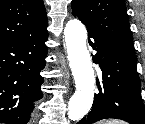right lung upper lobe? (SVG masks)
Wrapping results in <instances>:
<instances>
[{"instance_id": "obj_1", "label": "right lung upper lobe", "mask_w": 145, "mask_h": 124, "mask_svg": "<svg viewBox=\"0 0 145 124\" xmlns=\"http://www.w3.org/2000/svg\"><path fill=\"white\" fill-rule=\"evenodd\" d=\"M46 30L43 0H0V43L35 36Z\"/></svg>"}]
</instances>
